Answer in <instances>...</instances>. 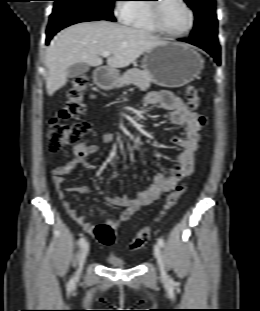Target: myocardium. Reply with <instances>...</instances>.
<instances>
[{
  "label": "myocardium",
  "instance_id": "obj_1",
  "mask_svg": "<svg viewBox=\"0 0 260 311\" xmlns=\"http://www.w3.org/2000/svg\"><path fill=\"white\" fill-rule=\"evenodd\" d=\"M164 0H155V2L151 3L148 5L149 7V15H150V19L153 23V25L156 27V29L169 37H175V38H179V37H183L188 35L195 24V14L193 9L191 8V6L188 4V2L186 0H179V2L186 8V10L189 13V17H190V22H189V26L188 28L183 31V32H179V33H175V32H171L169 30H167L161 20V15H160V10H161V5L163 3Z\"/></svg>",
  "mask_w": 260,
  "mask_h": 311
}]
</instances>
